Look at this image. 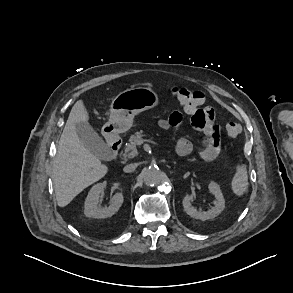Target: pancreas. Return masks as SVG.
Segmentation results:
<instances>
[{
	"label": "pancreas",
	"instance_id": "cf45deb5",
	"mask_svg": "<svg viewBox=\"0 0 293 293\" xmlns=\"http://www.w3.org/2000/svg\"><path fill=\"white\" fill-rule=\"evenodd\" d=\"M144 136L145 133L142 130L136 132L134 135H131L129 143L126 145L125 148L124 157L134 158L137 155L138 152L136 146Z\"/></svg>",
	"mask_w": 293,
	"mask_h": 293
}]
</instances>
